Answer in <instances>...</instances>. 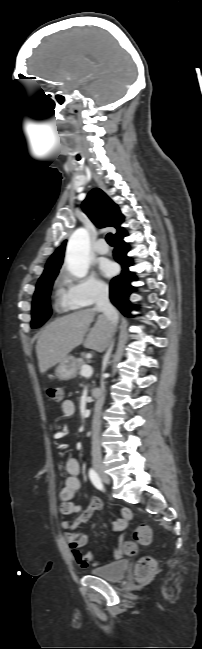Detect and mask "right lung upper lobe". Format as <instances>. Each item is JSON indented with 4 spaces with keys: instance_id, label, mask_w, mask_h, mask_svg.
Segmentation results:
<instances>
[{
    "instance_id": "1",
    "label": "right lung upper lobe",
    "mask_w": 202,
    "mask_h": 649,
    "mask_svg": "<svg viewBox=\"0 0 202 649\" xmlns=\"http://www.w3.org/2000/svg\"><path fill=\"white\" fill-rule=\"evenodd\" d=\"M84 213L91 221L100 228L114 227L117 232L114 237L125 232L120 224L124 216L121 214L119 207L99 188L91 190L82 203ZM66 241L56 249L48 259L42 276L59 271L64 257ZM41 276V277H42Z\"/></svg>"
}]
</instances>
